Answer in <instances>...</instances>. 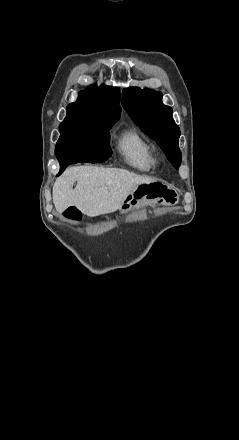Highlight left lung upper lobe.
<instances>
[{"label":"left lung upper lobe","instance_id":"1","mask_svg":"<svg viewBox=\"0 0 239 440\" xmlns=\"http://www.w3.org/2000/svg\"><path fill=\"white\" fill-rule=\"evenodd\" d=\"M122 95V105L134 122L157 142L173 166L179 167L182 160L178 146L180 129L173 120L172 109L162 104V93L129 87Z\"/></svg>","mask_w":239,"mask_h":440}]
</instances>
